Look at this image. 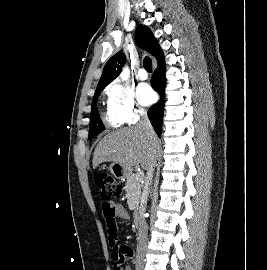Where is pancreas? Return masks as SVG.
<instances>
[{
    "label": "pancreas",
    "mask_w": 267,
    "mask_h": 270,
    "mask_svg": "<svg viewBox=\"0 0 267 270\" xmlns=\"http://www.w3.org/2000/svg\"><path fill=\"white\" fill-rule=\"evenodd\" d=\"M142 183L137 180V174H131L127 178L125 191L128 203H138L141 195Z\"/></svg>",
    "instance_id": "cf45deb5"
}]
</instances>
